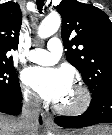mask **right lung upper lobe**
Here are the masks:
<instances>
[{
    "label": "right lung upper lobe",
    "instance_id": "cb5924a9",
    "mask_svg": "<svg viewBox=\"0 0 112 135\" xmlns=\"http://www.w3.org/2000/svg\"><path fill=\"white\" fill-rule=\"evenodd\" d=\"M21 24L22 13L18 3L0 5V62L13 61L8 52L18 47Z\"/></svg>",
    "mask_w": 112,
    "mask_h": 135
}]
</instances>
